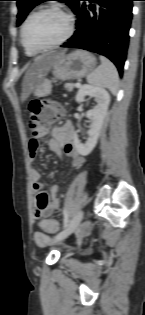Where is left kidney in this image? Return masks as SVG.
<instances>
[{"mask_svg": "<svg viewBox=\"0 0 145 315\" xmlns=\"http://www.w3.org/2000/svg\"><path fill=\"white\" fill-rule=\"evenodd\" d=\"M86 96L94 97L97 104L86 114L87 118L91 120L90 129L88 131L89 137L87 141L85 143H81L78 139L77 133H74V146L78 153L83 156L90 154L96 146L103 120L106 116L110 103V95L103 88L91 85H83L80 87L76 95V101L80 103Z\"/></svg>", "mask_w": 145, "mask_h": 315, "instance_id": "1", "label": "left kidney"}]
</instances>
